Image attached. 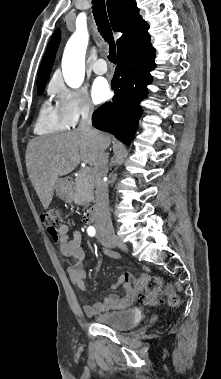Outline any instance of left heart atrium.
<instances>
[{"label": "left heart atrium", "mask_w": 221, "mask_h": 379, "mask_svg": "<svg viewBox=\"0 0 221 379\" xmlns=\"http://www.w3.org/2000/svg\"><path fill=\"white\" fill-rule=\"evenodd\" d=\"M110 88L106 80L97 79L92 86V97L96 103H101L108 99Z\"/></svg>", "instance_id": "left-heart-atrium-1"}]
</instances>
